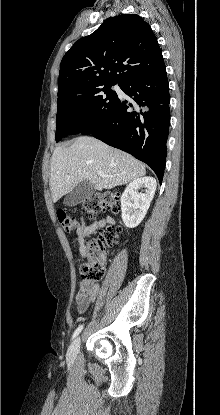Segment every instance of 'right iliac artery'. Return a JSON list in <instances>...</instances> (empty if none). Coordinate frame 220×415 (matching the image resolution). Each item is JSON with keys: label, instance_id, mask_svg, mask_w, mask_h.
<instances>
[{"label": "right iliac artery", "instance_id": "82829eb1", "mask_svg": "<svg viewBox=\"0 0 220 415\" xmlns=\"http://www.w3.org/2000/svg\"><path fill=\"white\" fill-rule=\"evenodd\" d=\"M83 329V325H79V327L74 331L72 335V339H74Z\"/></svg>", "mask_w": 220, "mask_h": 415}]
</instances>
